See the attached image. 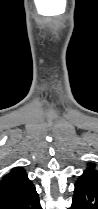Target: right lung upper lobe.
Wrapping results in <instances>:
<instances>
[{
	"mask_svg": "<svg viewBox=\"0 0 98 209\" xmlns=\"http://www.w3.org/2000/svg\"><path fill=\"white\" fill-rule=\"evenodd\" d=\"M34 185L22 167L13 168L0 181V209H4Z\"/></svg>",
	"mask_w": 98,
	"mask_h": 209,
	"instance_id": "cb5924a9",
	"label": "right lung upper lobe"
}]
</instances>
